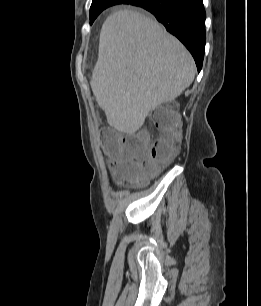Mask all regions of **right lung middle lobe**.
<instances>
[{
  "label": "right lung middle lobe",
  "mask_w": 261,
  "mask_h": 306,
  "mask_svg": "<svg viewBox=\"0 0 261 306\" xmlns=\"http://www.w3.org/2000/svg\"><path fill=\"white\" fill-rule=\"evenodd\" d=\"M124 0H105L100 2L92 3L90 7V18L92 19V22L96 19V17L106 8L116 5V4H122L125 3Z\"/></svg>",
  "instance_id": "dd1d6c3e"
}]
</instances>
